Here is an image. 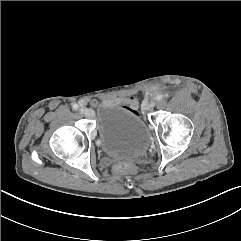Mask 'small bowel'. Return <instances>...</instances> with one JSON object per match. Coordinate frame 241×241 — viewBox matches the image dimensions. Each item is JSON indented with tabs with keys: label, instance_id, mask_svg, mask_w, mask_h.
<instances>
[{
	"label": "small bowel",
	"instance_id": "c3829d8e",
	"mask_svg": "<svg viewBox=\"0 0 241 241\" xmlns=\"http://www.w3.org/2000/svg\"><path fill=\"white\" fill-rule=\"evenodd\" d=\"M124 106L132 109V116L135 119H140L143 116V111L140 108H136L137 106V98L135 96H127L118 100Z\"/></svg>",
	"mask_w": 241,
	"mask_h": 241
}]
</instances>
